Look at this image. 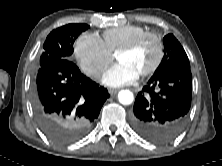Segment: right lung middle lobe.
<instances>
[{"label":"right lung middle lobe","instance_id":"obj_1","mask_svg":"<svg viewBox=\"0 0 222 166\" xmlns=\"http://www.w3.org/2000/svg\"><path fill=\"white\" fill-rule=\"evenodd\" d=\"M88 28L86 24H68L54 29L43 45L44 50L40 56L39 66L56 60L69 59L73 53L74 41Z\"/></svg>","mask_w":222,"mask_h":166}]
</instances>
